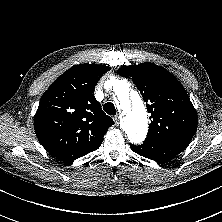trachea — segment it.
<instances>
[{
	"label": "trachea",
	"instance_id": "obj_1",
	"mask_svg": "<svg viewBox=\"0 0 222 222\" xmlns=\"http://www.w3.org/2000/svg\"><path fill=\"white\" fill-rule=\"evenodd\" d=\"M103 110L109 114V115H115L116 114V109L115 106L112 102H107L104 106H103Z\"/></svg>",
	"mask_w": 222,
	"mask_h": 222
}]
</instances>
